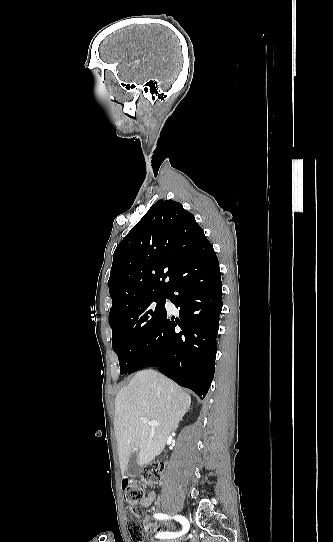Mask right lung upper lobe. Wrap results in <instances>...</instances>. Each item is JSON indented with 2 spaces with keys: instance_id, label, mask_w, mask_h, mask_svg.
<instances>
[{
  "instance_id": "cb5924a9",
  "label": "right lung upper lobe",
  "mask_w": 333,
  "mask_h": 542,
  "mask_svg": "<svg viewBox=\"0 0 333 542\" xmlns=\"http://www.w3.org/2000/svg\"><path fill=\"white\" fill-rule=\"evenodd\" d=\"M206 240L194 216L179 202L158 200L114 252L109 319L167 295L182 276L178 253Z\"/></svg>"
}]
</instances>
